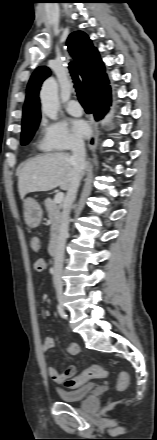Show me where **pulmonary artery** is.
<instances>
[{"label": "pulmonary artery", "instance_id": "e3ab8cb5", "mask_svg": "<svg viewBox=\"0 0 157 440\" xmlns=\"http://www.w3.org/2000/svg\"><path fill=\"white\" fill-rule=\"evenodd\" d=\"M66 110L68 113L78 116L82 113L81 105L78 101L71 100L66 105Z\"/></svg>", "mask_w": 157, "mask_h": 440}]
</instances>
